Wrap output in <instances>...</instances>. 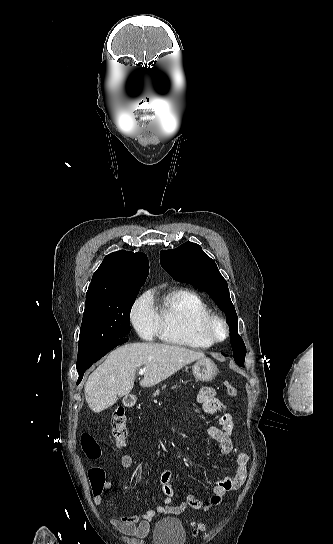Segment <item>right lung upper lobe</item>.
Returning <instances> with one entry per match:
<instances>
[{"label": "right lung upper lobe", "mask_w": 333, "mask_h": 544, "mask_svg": "<svg viewBox=\"0 0 333 544\" xmlns=\"http://www.w3.org/2000/svg\"><path fill=\"white\" fill-rule=\"evenodd\" d=\"M148 273L149 262L144 253L113 252L104 258L94 273L86 293V302L139 291Z\"/></svg>", "instance_id": "right-lung-upper-lobe-1"}]
</instances>
